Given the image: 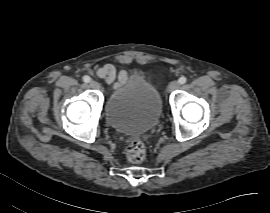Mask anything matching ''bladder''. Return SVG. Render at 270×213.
<instances>
[{
  "instance_id": "1",
  "label": "bladder",
  "mask_w": 270,
  "mask_h": 213,
  "mask_svg": "<svg viewBox=\"0 0 270 213\" xmlns=\"http://www.w3.org/2000/svg\"><path fill=\"white\" fill-rule=\"evenodd\" d=\"M161 114L159 92L139 75L113 90L105 103L108 124L129 135L151 131Z\"/></svg>"
}]
</instances>
